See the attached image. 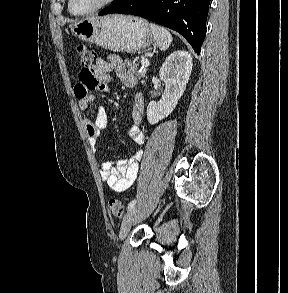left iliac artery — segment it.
Instances as JSON below:
<instances>
[{
  "mask_svg": "<svg viewBox=\"0 0 288 293\" xmlns=\"http://www.w3.org/2000/svg\"><path fill=\"white\" fill-rule=\"evenodd\" d=\"M135 204H136V200L134 199L128 204L127 209L130 210L131 208L135 206Z\"/></svg>",
  "mask_w": 288,
  "mask_h": 293,
  "instance_id": "1",
  "label": "left iliac artery"
}]
</instances>
